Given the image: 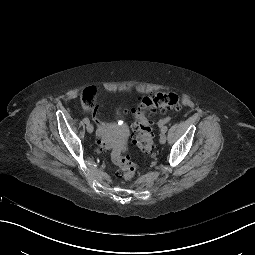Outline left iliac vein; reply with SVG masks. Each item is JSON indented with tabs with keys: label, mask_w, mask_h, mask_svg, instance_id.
<instances>
[{
	"label": "left iliac vein",
	"mask_w": 255,
	"mask_h": 255,
	"mask_svg": "<svg viewBox=\"0 0 255 255\" xmlns=\"http://www.w3.org/2000/svg\"><path fill=\"white\" fill-rule=\"evenodd\" d=\"M166 135L164 134V133H162L161 135H160V139H159V141H160V143L161 144H164L165 142H166Z\"/></svg>",
	"instance_id": "1"
}]
</instances>
